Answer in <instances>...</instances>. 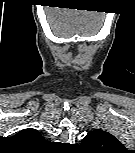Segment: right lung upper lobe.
<instances>
[{
	"mask_svg": "<svg viewBox=\"0 0 135 153\" xmlns=\"http://www.w3.org/2000/svg\"><path fill=\"white\" fill-rule=\"evenodd\" d=\"M17 137L23 138L28 141H41V140H43L41 134L36 129H32V128H28V129H24V130L20 131L17 134Z\"/></svg>",
	"mask_w": 135,
	"mask_h": 153,
	"instance_id": "right-lung-upper-lobe-1",
	"label": "right lung upper lobe"
}]
</instances>
